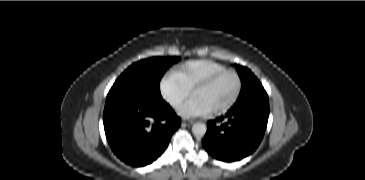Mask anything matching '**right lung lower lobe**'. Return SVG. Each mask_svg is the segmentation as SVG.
Instances as JSON below:
<instances>
[{
	"label": "right lung lower lobe",
	"instance_id": "right-lung-lower-lobe-1",
	"mask_svg": "<svg viewBox=\"0 0 365 180\" xmlns=\"http://www.w3.org/2000/svg\"><path fill=\"white\" fill-rule=\"evenodd\" d=\"M103 121L113 152L138 167L156 160L180 126V118L161 96L130 95L106 102Z\"/></svg>",
	"mask_w": 365,
	"mask_h": 180
}]
</instances>
